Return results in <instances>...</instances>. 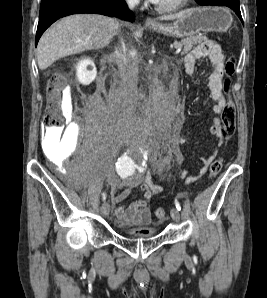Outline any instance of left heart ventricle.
I'll list each match as a JSON object with an SVG mask.
<instances>
[{
    "label": "left heart ventricle",
    "mask_w": 267,
    "mask_h": 298,
    "mask_svg": "<svg viewBox=\"0 0 267 298\" xmlns=\"http://www.w3.org/2000/svg\"><path fill=\"white\" fill-rule=\"evenodd\" d=\"M178 0H159L157 4L161 6H170L176 3Z\"/></svg>",
    "instance_id": "obj_1"
}]
</instances>
